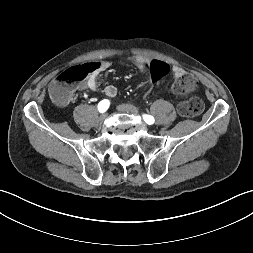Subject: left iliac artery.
Instances as JSON below:
<instances>
[{"instance_id":"left-iliac-artery-1","label":"left iliac artery","mask_w":253,"mask_h":253,"mask_svg":"<svg viewBox=\"0 0 253 253\" xmlns=\"http://www.w3.org/2000/svg\"><path fill=\"white\" fill-rule=\"evenodd\" d=\"M143 119L147 124H153L154 123V117L151 115L144 114Z\"/></svg>"}]
</instances>
